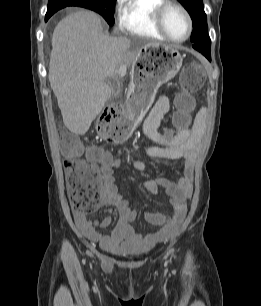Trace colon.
Masks as SVG:
<instances>
[{
	"instance_id": "1",
	"label": "colon",
	"mask_w": 261,
	"mask_h": 306,
	"mask_svg": "<svg viewBox=\"0 0 261 306\" xmlns=\"http://www.w3.org/2000/svg\"><path fill=\"white\" fill-rule=\"evenodd\" d=\"M205 72L202 65L196 61L188 62L179 77L180 101L184 110L191 106V96L202 85ZM178 123L181 127L188 124L185 113L179 115ZM102 133L112 142H122L129 138L131 128L122 122H107L101 126ZM63 152L74 157L80 151V142L73 135L65 134L61 138ZM93 157L103 156L102 151L92 150ZM67 187L71 205L76 211H87L92 207L93 196L99 188V177L92 164L74 166L67 176Z\"/></svg>"
}]
</instances>
